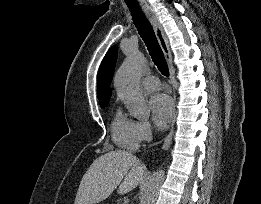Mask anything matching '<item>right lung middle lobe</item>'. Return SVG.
I'll use <instances>...</instances> for the list:
<instances>
[{"label":"right lung middle lobe","mask_w":261,"mask_h":204,"mask_svg":"<svg viewBox=\"0 0 261 204\" xmlns=\"http://www.w3.org/2000/svg\"><path fill=\"white\" fill-rule=\"evenodd\" d=\"M107 104H108V102L100 103V106L105 107V106H107Z\"/></svg>","instance_id":"1"}]
</instances>
